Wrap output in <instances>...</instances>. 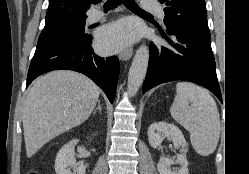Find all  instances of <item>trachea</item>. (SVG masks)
Returning a JSON list of instances; mask_svg holds the SVG:
<instances>
[{
  "label": "trachea",
  "instance_id": "trachea-1",
  "mask_svg": "<svg viewBox=\"0 0 249 174\" xmlns=\"http://www.w3.org/2000/svg\"><path fill=\"white\" fill-rule=\"evenodd\" d=\"M100 0H95L93 1V4H97L99 3ZM125 5L126 8H128L129 10H131L134 13H140V14H147L150 15L149 13L145 12L144 10H142L137 3L135 2V0H107V2L104 4V8L105 9H114L119 5Z\"/></svg>",
  "mask_w": 249,
  "mask_h": 174
}]
</instances>
